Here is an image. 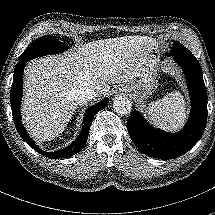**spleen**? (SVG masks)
I'll use <instances>...</instances> for the list:
<instances>
[{"mask_svg":"<svg viewBox=\"0 0 215 215\" xmlns=\"http://www.w3.org/2000/svg\"><path fill=\"white\" fill-rule=\"evenodd\" d=\"M147 110L148 118L153 125L175 132L185 124L187 102L179 91H175L162 100L149 103Z\"/></svg>","mask_w":215,"mask_h":215,"instance_id":"obj_1","label":"spleen"}]
</instances>
